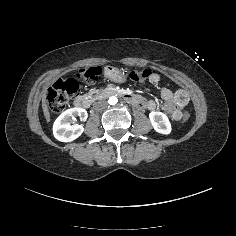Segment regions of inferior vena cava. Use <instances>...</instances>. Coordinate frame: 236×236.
Returning a JSON list of instances; mask_svg holds the SVG:
<instances>
[{
  "label": "inferior vena cava",
  "mask_w": 236,
  "mask_h": 236,
  "mask_svg": "<svg viewBox=\"0 0 236 236\" xmlns=\"http://www.w3.org/2000/svg\"><path fill=\"white\" fill-rule=\"evenodd\" d=\"M106 106H107V104L105 101H99V102L94 103L93 109L96 111H100V110H103L104 108H106Z\"/></svg>",
  "instance_id": "obj_1"
}]
</instances>
